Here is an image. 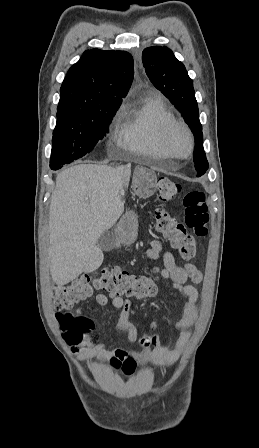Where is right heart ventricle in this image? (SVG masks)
I'll return each mask as SVG.
<instances>
[{"mask_svg": "<svg viewBox=\"0 0 259 448\" xmlns=\"http://www.w3.org/2000/svg\"><path fill=\"white\" fill-rule=\"evenodd\" d=\"M148 96L147 100L140 96L123 102L117 113L116 127L122 146L134 150L125 155L129 156V163H146L143 158L146 151L161 150L160 129L174 119L162 96L157 93Z\"/></svg>", "mask_w": 259, "mask_h": 448, "instance_id": "1", "label": "right heart ventricle"}]
</instances>
